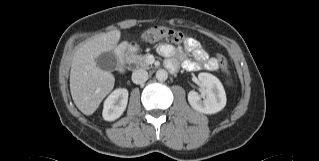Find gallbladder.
Here are the masks:
<instances>
[{
    "label": "gallbladder",
    "mask_w": 319,
    "mask_h": 161,
    "mask_svg": "<svg viewBox=\"0 0 319 161\" xmlns=\"http://www.w3.org/2000/svg\"><path fill=\"white\" fill-rule=\"evenodd\" d=\"M96 65L104 71H113L118 66V60L113 51L104 52L96 58Z\"/></svg>",
    "instance_id": "bac80fb5"
}]
</instances>
